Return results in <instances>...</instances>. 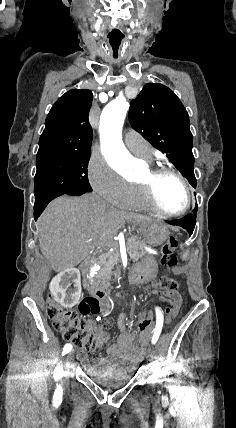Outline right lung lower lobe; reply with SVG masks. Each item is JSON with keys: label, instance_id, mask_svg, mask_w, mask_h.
Returning <instances> with one entry per match:
<instances>
[{"label": "right lung lower lobe", "instance_id": "98d812e1", "mask_svg": "<svg viewBox=\"0 0 236 428\" xmlns=\"http://www.w3.org/2000/svg\"><path fill=\"white\" fill-rule=\"evenodd\" d=\"M84 193H86V192H71V193H68L67 195L80 196ZM61 195H64V194H61ZM61 195H54V196H50L48 198H45L43 200L36 201L35 206H34V218H35V220H37V218L41 215V213L43 212V210L45 209V207L47 206V204L51 200H53L54 198L61 196Z\"/></svg>", "mask_w": 236, "mask_h": 428}]
</instances>
